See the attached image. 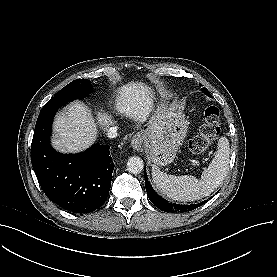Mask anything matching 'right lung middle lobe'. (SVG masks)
<instances>
[{"label": "right lung middle lobe", "mask_w": 277, "mask_h": 277, "mask_svg": "<svg viewBox=\"0 0 277 277\" xmlns=\"http://www.w3.org/2000/svg\"><path fill=\"white\" fill-rule=\"evenodd\" d=\"M92 91L90 81L77 79L62 88L52 99L41 109L40 113L58 109L71 100L85 97Z\"/></svg>", "instance_id": "right-lung-middle-lobe-1"}]
</instances>
